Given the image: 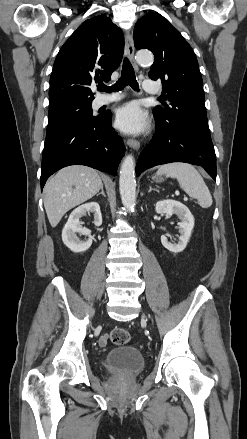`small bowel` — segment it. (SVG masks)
Wrapping results in <instances>:
<instances>
[{"mask_svg":"<svg viewBox=\"0 0 247 439\" xmlns=\"http://www.w3.org/2000/svg\"><path fill=\"white\" fill-rule=\"evenodd\" d=\"M106 343H107V337L104 336L100 339V345L104 346V345H106Z\"/></svg>","mask_w":247,"mask_h":439,"instance_id":"small-bowel-1","label":"small bowel"}]
</instances>
